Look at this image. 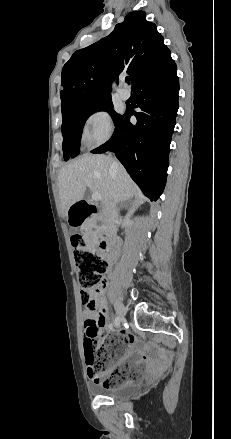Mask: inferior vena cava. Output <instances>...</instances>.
Here are the masks:
<instances>
[{"instance_id":"602c4592","label":"inferior vena cava","mask_w":231,"mask_h":439,"mask_svg":"<svg viewBox=\"0 0 231 439\" xmlns=\"http://www.w3.org/2000/svg\"><path fill=\"white\" fill-rule=\"evenodd\" d=\"M113 170L118 168V162L114 161L111 165ZM103 216L106 220V224L111 231L112 235H115V220L117 218L116 204L113 201H108L103 205Z\"/></svg>"}]
</instances>
